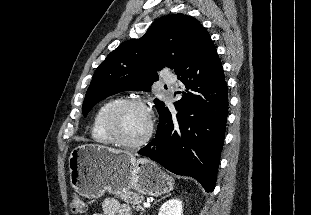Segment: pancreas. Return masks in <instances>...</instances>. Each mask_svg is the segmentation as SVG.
I'll return each mask as SVG.
<instances>
[{"label":"pancreas","instance_id":"pancreas-1","mask_svg":"<svg viewBox=\"0 0 311 215\" xmlns=\"http://www.w3.org/2000/svg\"><path fill=\"white\" fill-rule=\"evenodd\" d=\"M120 198L126 202L132 204V207L138 211H141V214L145 211L142 207V203L144 197L138 193H134L131 191L125 192L124 194L120 195Z\"/></svg>","mask_w":311,"mask_h":215}]
</instances>
